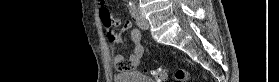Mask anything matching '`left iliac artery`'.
<instances>
[{
  "label": "left iliac artery",
  "instance_id": "obj_1",
  "mask_svg": "<svg viewBox=\"0 0 279 82\" xmlns=\"http://www.w3.org/2000/svg\"><path fill=\"white\" fill-rule=\"evenodd\" d=\"M130 13L135 17L136 16V8L133 2H130Z\"/></svg>",
  "mask_w": 279,
  "mask_h": 82
}]
</instances>
